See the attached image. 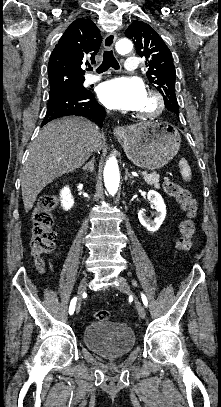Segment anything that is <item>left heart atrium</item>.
<instances>
[{"label":"left heart atrium","mask_w":221,"mask_h":407,"mask_svg":"<svg viewBox=\"0 0 221 407\" xmlns=\"http://www.w3.org/2000/svg\"><path fill=\"white\" fill-rule=\"evenodd\" d=\"M146 98L141 80L117 77L104 82L99 88V99L108 108L117 110H139Z\"/></svg>","instance_id":"left-heart-atrium-1"}]
</instances>
